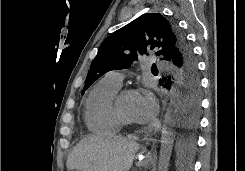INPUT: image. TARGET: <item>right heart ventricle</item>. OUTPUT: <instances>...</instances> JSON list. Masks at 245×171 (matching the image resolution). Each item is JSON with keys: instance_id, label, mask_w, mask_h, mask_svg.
Masks as SVG:
<instances>
[{"instance_id": "e07e8e85", "label": "right heart ventricle", "mask_w": 245, "mask_h": 171, "mask_svg": "<svg viewBox=\"0 0 245 171\" xmlns=\"http://www.w3.org/2000/svg\"><path fill=\"white\" fill-rule=\"evenodd\" d=\"M120 88L109 83L105 78L94 85L85 102L84 118L90 132L99 135H111L119 132L112 102Z\"/></svg>"}]
</instances>
